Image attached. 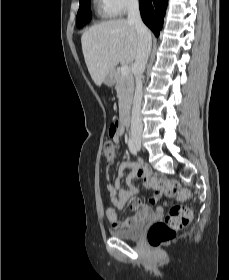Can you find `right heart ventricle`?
<instances>
[{
    "instance_id": "right-heart-ventricle-1",
    "label": "right heart ventricle",
    "mask_w": 229,
    "mask_h": 280,
    "mask_svg": "<svg viewBox=\"0 0 229 280\" xmlns=\"http://www.w3.org/2000/svg\"><path fill=\"white\" fill-rule=\"evenodd\" d=\"M95 1H98V0H95ZM99 13H100V15H101L102 18H109V17H111V15L108 14V13H106V12L102 9V7H101L100 5H99Z\"/></svg>"
}]
</instances>
